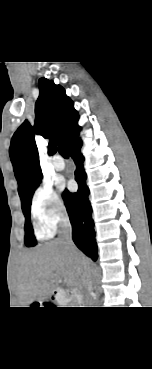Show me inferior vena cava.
Listing matches in <instances>:
<instances>
[{
  "label": "inferior vena cava",
  "mask_w": 152,
  "mask_h": 369,
  "mask_svg": "<svg viewBox=\"0 0 152 369\" xmlns=\"http://www.w3.org/2000/svg\"><path fill=\"white\" fill-rule=\"evenodd\" d=\"M58 233V241L64 245L68 253H70L71 255H75L77 253V249L72 241V227L67 216L61 217L59 221ZM75 259L80 262V288L82 291L83 307H93L94 298L92 296V274L90 265L82 261L79 257H75Z\"/></svg>",
  "instance_id": "inferior-vena-cava-1"
}]
</instances>
